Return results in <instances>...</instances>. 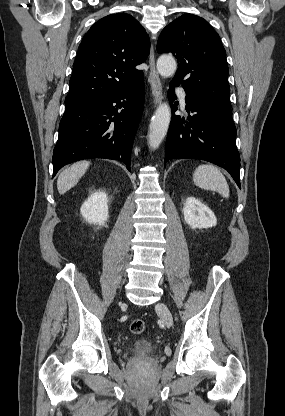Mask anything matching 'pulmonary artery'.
I'll return each instance as SVG.
<instances>
[{
	"label": "pulmonary artery",
	"instance_id": "e3ab8cb5",
	"mask_svg": "<svg viewBox=\"0 0 285 416\" xmlns=\"http://www.w3.org/2000/svg\"><path fill=\"white\" fill-rule=\"evenodd\" d=\"M177 94H178L179 99H180L181 107L183 109H185V107H186V96H187L185 90L180 87V88L177 89Z\"/></svg>",
	"mask_w": 285,
	"mask_h": 416
}]
</instances>
